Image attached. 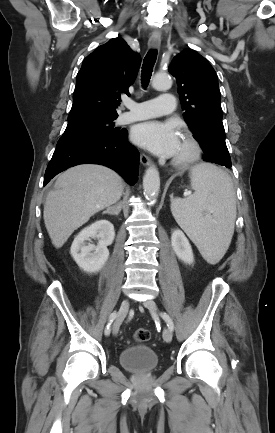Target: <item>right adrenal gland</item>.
I'll return each instance as SVG.
<instances>
[{
	"mask_svg": "<svg viewBox=\"0 0 275 433\" xmlns=\"http://www.w3.org/2000/svg\"><path fill=\"white\" fill-rule=\"evenodd\" d=\"M122 210V202L116 203L114 206L109 207L106 211L103 212V214H109V215H118Z\"/></svg>",
	"mask_w": 275,
	"mask_h": 433,
	"instance_id": "2a0ac1e0",
	"label": "right adrenal gland"
}]
</instances>
